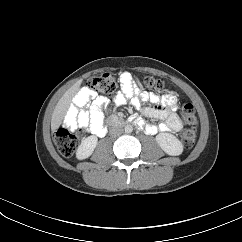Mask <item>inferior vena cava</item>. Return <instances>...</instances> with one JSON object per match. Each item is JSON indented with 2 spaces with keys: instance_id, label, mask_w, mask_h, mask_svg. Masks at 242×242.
<instances>
[{
  "instance_id": "obj_1",
  "label": "inferior vena cava",
  "mask_w": 242,
  "mask_h": 242,
  "mask_svg": "<svg viewBox=\"0 0 242 242\" xmlns=\"http://www.w3.org/2000/svg\"><path fill=\"white\" fill-rule=\"evenodd\" d=\"M122 132H123V129L120 128V127H113V128L110 130V134H111V136H113V137H116V136L121 135Z\"/></svg>"
}]
</instances>
